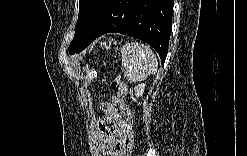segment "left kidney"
Wrapping results in <instances>:
<instances>
[{
	"label": "left kidney",
	"instance_id": "left-kidney-1",
	"mask_svg": "<svg viewBox=\"0 0 247 156\" xmlns=\"http://www.w3.org/2000/svg\"><path fill=\"white\" fill-rule=\"evenodd\" d=\"M144 89H145V84H144V83L137 85V86L134 88L135 96H136L137 98H139L140 96H142L143 93H144Z\"/></svg>",
	"mask_w": 247,
	"mask_h": 156
}]
</instances>
